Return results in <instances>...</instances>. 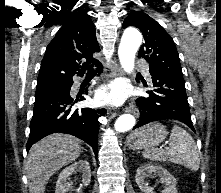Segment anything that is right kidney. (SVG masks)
Segmentation results:
<instances>
[{
  "label": "right kidney",
  "mask_w": 221,
  "mask_h": 193,
  "mask_svg": "<svg viewBox=\"0 0 221 193\" xmlns=\"http://www.w3.org/2000/svg\"><path fill=\"white\" fill-rule=\"evenodd\" d=\"M76 171L83 173L82 183L77 189V193H82V188L88 186L91 181V170L87 160H79L62 170L56 183L55 193H67L71 190L72 186L69 184L68 178Z\"/></svg>",
  "instance_id": "1"
}]
</instances>
